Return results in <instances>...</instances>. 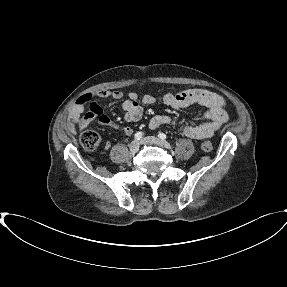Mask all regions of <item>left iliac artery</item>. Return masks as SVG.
Masks as SVG:
<instances>
[{
  "mask_svg": "<svg viewBox=\"0 0 287 287\" xmlns=\"http://www.w3.org/2000/svg\"><path fill=\"white\" fill-rule=\"evenodd\" d=\"M158 137L162 140H165L167 138L166 134H164V133H159Z\"/></svg>",
  "mask_w": 287,
  "mask_h": 287,
  "instance_id": "44dca946",
  "label": "left iliac artery"
}]
</instances>
